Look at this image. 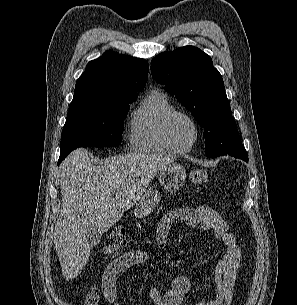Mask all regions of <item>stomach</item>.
<instances>
[{"label":"stomach","mask_w":297,"mask_h":305,"mask_svg":"<svg viewBox=\"0 0 297 305\" xmlns=\"http://www.w3.org/2000/svg\"><path fill=\"white\" fill-rule=\"evenodd\" d=\"M186 178L185 169L178 164H169L166 168L159 171V182L166 191L179 190ZM160 193L154 189L149 188L139 200L134 214L138 218L149 215L160 201Z\"/></svg>","instance_id":"obj_1"}]
</instances>
